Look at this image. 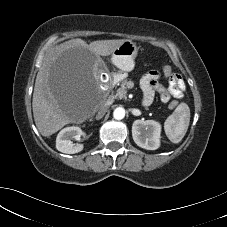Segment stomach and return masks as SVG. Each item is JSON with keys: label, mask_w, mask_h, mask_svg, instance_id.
Returning a JSON list of instances; mask_svg holds the SVG:
<instances>
[{"label": "stomach", "mask_w": 227, "mask_h": 227, "mask_svg": "<svg viewBox=\"0 0 227 227\" xmlns=\"http://www.w3.org/2000/svg\"><path fill=\"white\" fill-rule=\"evenodd\" d=\"M137 53L136 44L126 40L113 51L111 61L121 71L129 72L134 68Z\"/></svg>", "instance_id": "obj_1"}]
</instances>
